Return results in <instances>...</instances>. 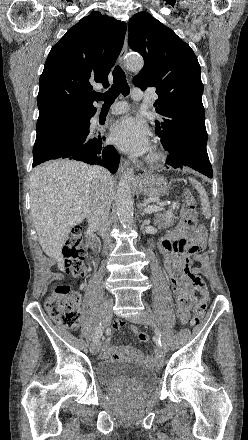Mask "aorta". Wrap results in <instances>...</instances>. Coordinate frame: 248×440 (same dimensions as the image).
<instances>
[{
	"mask_svg": "<svg viewBox=\"0 0 248 440\" xmlns=\"http://www.w3.org/2000/svg\"><path fill=\"white\" fill-rule=\"evenodd\" d=\"M143 65V59L138 56H130L126 60V67L131 71H139ZM133 175V170L129 169L121 177L116 194L117 215L123 227H129L133 223L134 205L131 193Z\"/></svg>",
	"mask_w": 248,
	"mask_h": 440,
	"instance_id": "obj_1",
	"label": "aorta"
}]
</instances>
